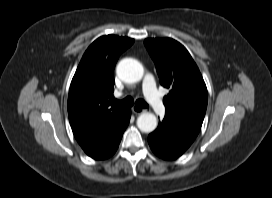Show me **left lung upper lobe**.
Returning <instances> with one entry per match:
<instances>
[{"instance_id": "5c2ea615", "label": "left lung upper lobe", "mask_w": 272, "mask_h": 198, "mask_svg": "<svg viewBox=\"0 0 272 198\" xmlns=\"http://www.w3.org/2000/svg\"><path fill=\"white\" fill-rule=\"evenodd\" d=\"M161 85L169 89L163 98L166 114L202 125L208 93L202 75L186 48L171 38L145 39Z\"/></svg>"}]
</instances>
